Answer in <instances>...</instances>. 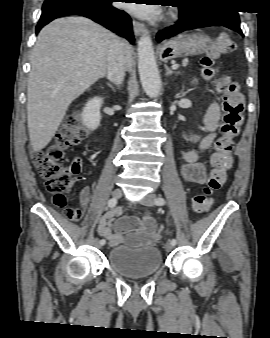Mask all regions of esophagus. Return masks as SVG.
Instances as JSON below:
<instances>
[{
    "label": "esophagus",
    "instance_id": "esophagus-1",
    "mask_svg": "<svg viewBox=\"0 0 270 338\" xmlns=\"http://www.w3.org/2000/svg\"><path fill=\"white\" fill-rule=\"evenodd\" d=\"M133 30L136 36L141 35L143 32H145V25L139 21L133 20Z\"/></svg>",
    "mask_w": 270,
    "mask_h": 338
}]
</instances>
